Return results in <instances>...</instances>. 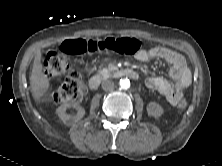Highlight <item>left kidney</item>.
Instances as JSON below:
<instances>
[{
	"label": "left kidney",
	"instance_id": "1",
	"mask_svg": "<svg viewBox=\"0 0 222 166\" xmlns=\"http://www.w3.org/2000/svg\"><path fill=\"white\" fill-rule=\"evenodd\" d=\"M147 113L152 117L158 118L164 113V109L160 104L156 102H150L147 105Z\"/></svg>",
	"mask_w": 222,
	"mask_h": 166
}]
</instances>
